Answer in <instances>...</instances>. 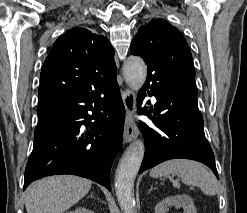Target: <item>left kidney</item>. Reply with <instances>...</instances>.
<instances>
[{"instance_id": "1", "label": "left kidney", "mask_w": 247, "mask_h": 213, "mask_svg": "<svg viewBox=\"0 0 247 213\" xmlns=\"http://www.w3.org/2000/svg\"><path fill=\"white\" fill-rule=\"evenodd\" d=\"M171 206L183 208L184 213H197L192 198L185 194L167 197L161 202H158L155 207V213H166L167 208Z\"/></svg>"}]
</instances>
